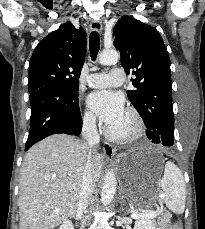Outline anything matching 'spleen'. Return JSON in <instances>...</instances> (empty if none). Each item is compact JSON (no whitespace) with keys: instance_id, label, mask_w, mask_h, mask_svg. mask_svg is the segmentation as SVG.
<instances>
[{"instance_id":"obj_1","label":"spleen","mask_w":205,"mask_h":229,"mask_svg":"<svg viewBox=\"0 0 205 229\" xmlns=\"http://www.w3.org/2000/svg\"><path fill=\"white\" fill-rule=\"evenodd\" d=\"M163 198L169 210L182 214L185 210L186 188L181 170L171 161L165 164L164 175L159 182Z\"/></svg>"}]
</instances>
